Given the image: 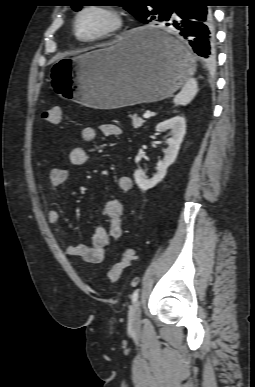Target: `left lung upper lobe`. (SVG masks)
I'll return each instance as SVG.
<instances>
[{
    "label": "left lung upper lobe",
    "mask_w": 255,
    "mask_h": 387,
    "mask_svg": "<svg viewBox=\"0 0 255 387\" xmlns=\"http://www.w3.org/2000/svg\"><path fill=\"white\" fill-rule=\"evenodd\" d=\"M90 0H75L77 4L72 5L74 10H80L81 4H86ZM110 3L123 6L139 21L149 24L159 21L168 11L169 5L176 0H107Z\"/></svg>",
    "instance_id": "1"
}]
</instances>
